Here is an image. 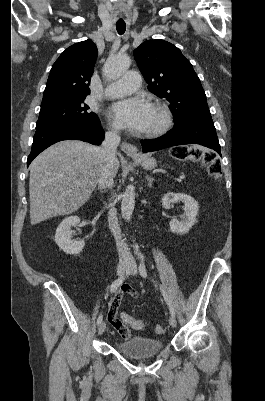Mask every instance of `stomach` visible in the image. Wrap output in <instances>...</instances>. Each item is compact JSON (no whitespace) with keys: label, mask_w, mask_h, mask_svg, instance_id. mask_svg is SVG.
I'll return each instance as SVG.
<instances>
[{"label":"stomach","mask_w":265,"mask_h":401,"mask_svg":"<svg viewBox=\"0 0 265 401\" xmlns=\"http://www.w3.org/2000/svg\"><path fill=\"white\" fill-rule=\"evenodd\" d=\"M134 160H137L143 168H146V170H152V168H156L157 162L156 158H153V156H149V154H141V156H132Z\"/></svg>","instance_id":"stomach-1"}]
</instances>
